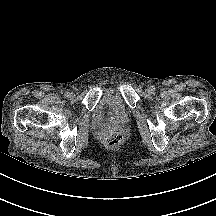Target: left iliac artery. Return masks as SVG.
I'll use <instances>...</instances> for the list:
<instances>
[{"instance_id": "left-iliac-artery-1", "label": "left iliac artery", "mask_w": 216, "mask_h": 216, "mask_svg": "<svg viewBox=\"0 0 216 216\" xmlns=\"http://www.w3.org/2000/svg\"><path fill=\"white\" fill-rule=\"evenodd\" d=\"M152 91H153V92L155 91V87H154V86H152Z\"/></svg>"}]
</instances>
